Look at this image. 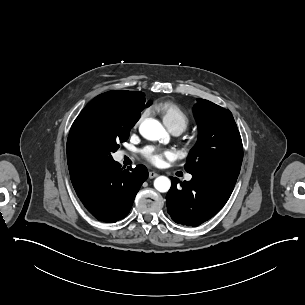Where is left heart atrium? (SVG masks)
Returning <instances> with one entry per match:
<instances>
[{
	"label": "left heart atrium",
	"instance_id": "left-heart-atrium-1",
	"mask_svg": "<svg viewBox=\"0 0 305 305\" xmlns=\"http://www.w3.org/2000/svg\"><path fill=\"white\" fill-rule=\"evenodd\" d=\"M144 158L155 165H159L165 158L174 157L175 153L172 150L161 149L155 146H146L141 150Z\"/></svg>",
	"mask_w": 305,
	"mask_h": 305
}]
</instances>
